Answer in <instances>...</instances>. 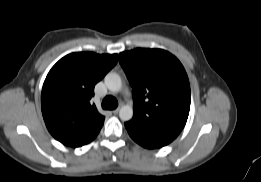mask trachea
<instances>
[{"label":"trachea","instance_id":"3493384b","mask_svg":"<svg viewBox=\"0 0 261 182\" xmlns=\"http://www.w3.org/2000/svg\"><path fill=\"white\" fill-rule=\"evenodd\" d=\"M118 101L113 96H106L102 101V108L112 110L117 108Z\"/></svg>","mask_w":261,"mask_h":182}]
</instances>
